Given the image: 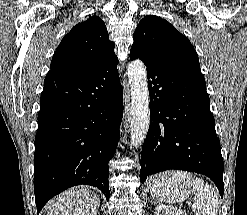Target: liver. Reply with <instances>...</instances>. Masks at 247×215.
Masks as SVG:
<instances>
[{
  "mask_svg": "<svg viewBox=\"0 0 247 215\" xmlns=\"http://www.w3.org/2000/svg\"><path fill=\"white\" fill-rule=\"evenodd\" d=\"M99 205L97 194L87 186H79L52 200L48 215H96Z\"/></svg>",
  "mask_w": 247,
  "mask_h": 215,
  "instance_id": "1",
  "label": "liver"
}]
</instances>
